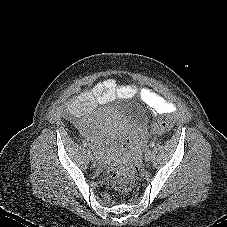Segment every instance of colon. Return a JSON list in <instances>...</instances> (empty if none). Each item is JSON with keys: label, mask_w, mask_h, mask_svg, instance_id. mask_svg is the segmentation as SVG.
<instances>
[{"label": "colon", "mask_w": 227, "mask_h": 227, "mask_svg": "<svg viewBox=\"0 0 227 227\" xmlns=\"http://www.w3.org/2000/svg\"><path fill=\"white\" fill-rule=\"evenodd\" d=\"M175 121V117L171 114L164 115L154 127V134L156 136H163L165 131L169 130ZM138 164L130 162L123 169L114 171L111 175V185L119 193H127L138 175Z\"/></svg>", "instance_id": "5ec220e1"}]
</instances>
